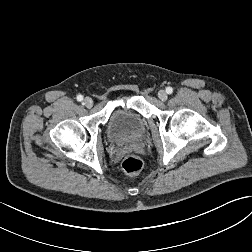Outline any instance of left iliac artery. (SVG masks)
Here are the masks:
<instances>
[{
  "instance_id": "1",
  "label": "left iliac artery",
  "mask_w": 252,
  "mask_h": 252,
  "mask_svg": "<svg viewBox=\"0 0 252 252\" xmlns=\"http://www.w3.org/2000/svg\"><path fill=\"white\" fill-rule=\"evenodd\" d=\"M166 92H167L168 94H171V93L173 92L172 87H167V88H166Z\"/></svg>"
}]
</instances>
